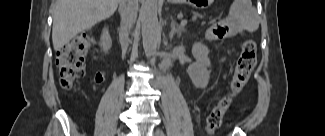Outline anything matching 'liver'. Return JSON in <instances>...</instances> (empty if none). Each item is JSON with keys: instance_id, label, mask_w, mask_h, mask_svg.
I'll use <instances>...</instances> for the list:
<instances>
[{"instance_id": "6515ba94", "label": "liver", "mask_w": 325, "mask_h": 136, "mask_svg": "<svg viewBox=\"0 0 325 136\" xmlns=\"http://www.w3.org/2000/svg\"><path fill=\"white\" fill-rule=\"evenodd\" d=\"M121 0H56L52 42L59 51L77 34L111 17Z\"/></svg>"}]
</instances>
